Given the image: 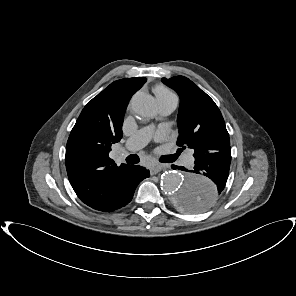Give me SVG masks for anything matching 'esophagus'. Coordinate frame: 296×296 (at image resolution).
<instances>
[{
  "label": "esophagus",
  "mask_w": 296,
  "mask_h": 296,
  "mask_svg": "<svg viewBox=\"0 0 296 296\" xmlns=\"http://www.w3.org/2000/svg\"><path fill=\"white\" fill-rule=\"evenodd\" d=\"M167 166L164 164H154L150 167V173L151 175H155L165 169Z\"/></svg>",
  "instance_id": "34e87169"
}]
</instances>
